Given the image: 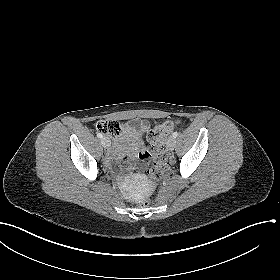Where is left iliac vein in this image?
<instances>
[{
	"instance_id": "1",
	"label": "left iliac vein",
	"mask_w": 280,
	"mask_h": 280,
	"mask_svg": "<svg viewBox=\"0 0 280 280\" xmlns=\"http://www.w3.org/2000/svg\"><path fill=\"white\" fill-rule=\"evenodd\" d=\"M175 144H176L175 138L174 137H169L168 142H167L168 148L170 150H174Z\"/></svg>"
}]
</instances>
